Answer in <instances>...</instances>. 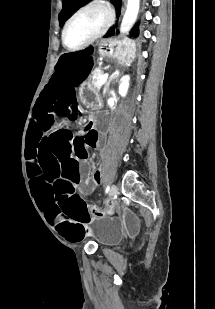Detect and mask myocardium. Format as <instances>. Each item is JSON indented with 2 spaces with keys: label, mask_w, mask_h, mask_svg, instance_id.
Masks as SVG:
<instances>
[{
  "label": "myocardium",
  "mask_w": 215,
  "mask_h": 309,
  "mask_svg": "<svg viewBox=\"0 0 215 309\" xmlns=\"http://www.w3.org/2000/svg\"><path fill=\"white\" fill-rule=\"evenodd\" d=\"M91 14L97 17V24L93 32L86 37L82 42L76 44V45H70L67 42V33L70 28V26L81 16ZM113 16V13L110 11V9H107L104 6L101 5H88L81 9H79L77 12H75L65 23L62 33H61V40L62 44L65 48H87L89 45H91L95 40L100 38L105 30H109L111 28V25L113 24V21L111 20Z\"/></svg>",
  "instance_id": "obj_1"
}]
</instances>
